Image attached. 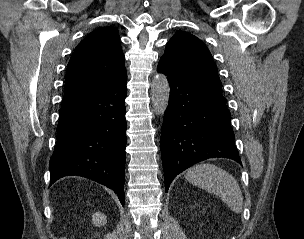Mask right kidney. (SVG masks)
I'll return each instance as SVG.
<instances>
[{"mask_svg":"<svg viewBox=\"0 0 304 239\" xmlns=\"http://www.w3.org/2000/svg\"><path fill=\"white\" fill-rule=\"evenodd\" d=\"M98 224L99 226L104 225L106 222V217L104 215H98L97 216Z\"/></svg>","mask_w":304,"mask_h":239,"instance_id":"obj_1","label":"right kidney"}]
</instances>
